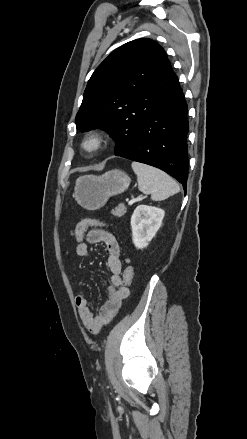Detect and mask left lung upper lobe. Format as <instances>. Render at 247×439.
I'll list each match as a JSON object with an SVG mask.
<instances>
[{"mask_svg": "<svg viewBox=\"0 0 247 439\" xmlns=\"http://www.w3.org/2000/svg\"><path fill=\"white\" fill-rule=\"evenodd\" d=\"M164 49L151 39H138L112 52L88 81L76 128L106 130L116 141L115 153L131 145L141 121L178 85Z\"/></svg>", "mask_w": 247, "mask_h": 439, "instance_id": "left-lung-upper-lobe-1", "label": "left lung upper lobe"}]
</instances>
